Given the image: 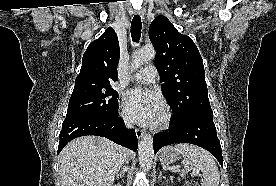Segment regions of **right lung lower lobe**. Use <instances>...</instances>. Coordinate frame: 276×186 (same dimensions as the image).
Wrapping results in <instances>:
<instances>
[{
    "label": "right lung lower lobe",
    "instance_id": "right-lung-lower-lobe-1",
    "mask_svg": "<svg viewBox=\"0 0 276 186\" xmlns=\"http://www.w3.org/2000/svg\"><path fill=\"white\" fill-rule=\"evenodd\" d=\"M85 135L105 137L133 151H136L138 147L135 130L124 128L123 120L118 117L117 109L108 116L78 115L66 118L59 135L58 154L69 141Z\"/></svg>",
    "mask_w": 276,
    "mask_h": 186
}]
</instances>
